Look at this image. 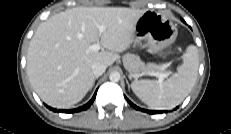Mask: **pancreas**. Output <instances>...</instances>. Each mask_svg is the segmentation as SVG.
<instances>
[{"label": "pancreas", "instance_id": "cf45deb5", "mask_svg": "<svg viewBox=\"0 0 231 134\" xmlns=\"http://www.w3.org/2000/svg\"><path fill=\"white\" fill-rule=\"evenodd\" d=\"M123 65L125 69L131 74H137L139 72H153L161 69L162 65L153 63L145 64L139 56L127 53L123 56Z\"/></svg>", "mask_w": 231, "mask_h": 134}]
</instances>
